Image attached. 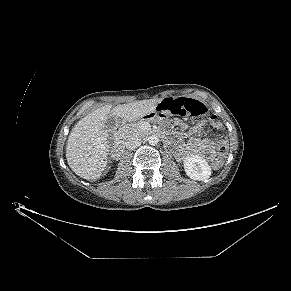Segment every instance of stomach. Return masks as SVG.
Listing matches in <instances>:
<instances>
[{
    "instance_id": "obj_1",
    "label": "stomach",
    "mask_w": 291,
    "mask_h": 291,
    "mask_svg": "<svg viewBox=\"0 0 291 291\" xmlns=\"http://www.w3.org/2000/svg\"><path fill=\"white\" fill-rule=\"evenodd\" d=\"M146 118L149 120V121H154V122H163L167 119V116L166 114L164 113H157L156 111H152L150 113H148L146 115Z\"/></svg>"
}]
</instances>
